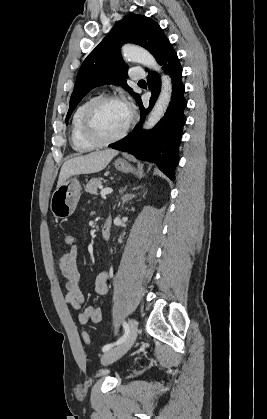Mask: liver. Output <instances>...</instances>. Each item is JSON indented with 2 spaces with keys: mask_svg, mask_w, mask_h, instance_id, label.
<instances>
[{
  "mask_svg": "<svg viewBox=\"0 0 267 419\" xmlns=\"http://www.w3.org/2000/svg\"><path fill=\"white\" fill-rule=\"evenodd\" d=\"M117 154V150L107 149L67 160L60 170L57 187L73 175L89 174L103 170Z\"/></svg>",
  "mask_w": 267,
  "mask_h": 419,
  "instance_id": "obj_1",
  "label": "liver"
}]
</instances>
